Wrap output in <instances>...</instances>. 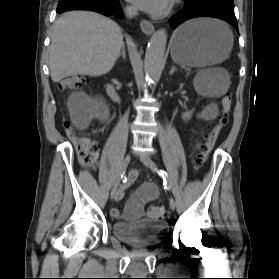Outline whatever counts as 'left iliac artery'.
<instances>
[{"instance_id": "1", "label": "left iliac artery", "mask_w": 279, "mask_h": 279, "mask_svg": "<svg viewBox=\"0 0 279 279\" xmlns=\"http://www.w3.org/2000/svg\"><path fill=\"white\" fill-rule=\"evenodd\" d=\"M158 174L162 177L163 179V185L165 186V188L170 189V184L168 182V176L167 173L164 170H159Z\"/></svg>"}]
</instances>
